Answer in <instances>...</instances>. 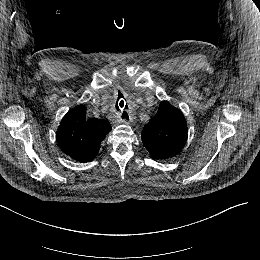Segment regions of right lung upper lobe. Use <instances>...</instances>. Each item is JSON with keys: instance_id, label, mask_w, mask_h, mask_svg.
<instances>
[{"instance_id": "1", "label": "right lung upper lobe", "mask_w": 260, "mask_h": 260, "mask_svg": "<svg viewBox=\"0 0 260 260\" xmlns=\"http://www.w3.org/2000/svg\"><path fill=\"white\" fill-rule=\"evenodd\" d=\"M110 130L109 122L86 117V107L79 105L63 117L56 137L66 155L79 162H89Z\"/></svg>"}]
</instances>
